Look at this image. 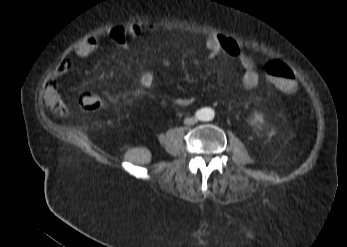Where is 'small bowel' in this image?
<instances>
[{
	"label": "small bowel",
	"mask_w": 347,
	"mask_h": 247,
	"mask_svg": "<svg viewBox=\"0 0 347 247\" xmlns=\"http://www.w3.org/2000/svg\"><path fill=\"white\" fill-rule=\"evenodd\" d=\"M156 27L151 25H142L139 23L130 24L127 28L119 25L111 26L103 34V38H107L114 44L125 47L128 44V38L140 39L145 31H155ZM103 38L91 37L87 41L79 42L74 47V53L79 57H87L99 49L103 44ZM205 47L208 50L211 59H217L220 56H228L240 63L244 68V73L241 76V85L246 90H252L258 86L259 76L255 70L253 58L245 52L236 40L223 36L214 35L205 40ZM71 69L69 60H64L57 68L56 74L46 85L44 93L46 96V104L48 108L63 116L67 113L66 107L58 98L56 80L66 74ZM158 85V78L153 72H145L140 77L139 87L135 91L153 90ZM88 90L83 91V93ZM82 93V94H83ZM175 104L180 107L190 106L194 102L191 96H184L175 99Z\"/></svg>",
	"instance_id": "obj_1"
}]
</instances>
